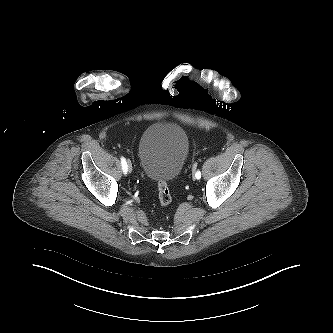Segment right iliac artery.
Instances as JSON below:
<instances>
[{
    "label": "right iliac artery",
    "instance_id": "82829eb1",
    "mask_svg": "<svg viewBox=\"0 0 333 333\" xmlns=\"http://www.w3.org/2000/svg\"><path fill=\"white\" fill-rule=\"evenodd\" d=\"M121 165H122V170H123L124 174H126L128 169H127V162L124 157H121Z\"/></svg>",
    "mask_w": 333,
    "mask_h": 333
}]
</instances>
